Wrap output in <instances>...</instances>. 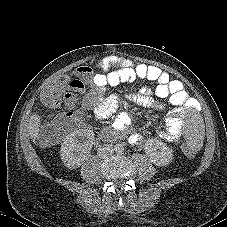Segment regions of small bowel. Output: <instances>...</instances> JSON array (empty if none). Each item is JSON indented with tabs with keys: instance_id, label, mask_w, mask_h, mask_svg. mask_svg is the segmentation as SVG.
Instances as JSON below:
<instances>
[{
	"instance_id": "1",
	"label": "small bowel",
	"mask_w": 227,
	"mask_h": 227,
	"mask_svg": "<svg viewBox=\"0 0 227 227\" xmlns=\"http://www.w3.org/2000/svg\"><path fill=\"white\" fill-rule=\"evenodd\" d=\"M101 72L93 74L90 67L81 66L76 69L80 78H67V91L64 93L65 104L74 108L78 104V94L88 93L81 100V107L91 110L94 119L102 122L112 115L116 110L117 100L115 98H103V94L111 86L122 83L134 82L137 79H147L156 83L154 88L144 87L132 96V100L144 108H159L161 104L157 98L167 99L169 104L177 110L172 112L166 119V129L161 132L160 137L167 142H175L181 138L183 128L184 111L180 109L188 104L191 107L190 98L181 81L171 78L164 70L154 65L134 64L133 62L116 57L108 56L100 62ZM69 122L78 120L77 112H67L60 116ZM130 119L126 115L116 118L112 126L115 135H126L132 145L139 144L144 137L140 132L127 133Z\"/></svg>"
}]
</instances>
